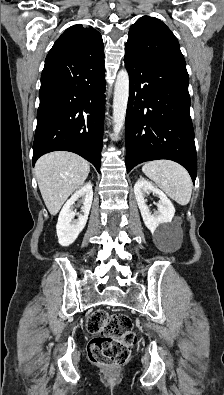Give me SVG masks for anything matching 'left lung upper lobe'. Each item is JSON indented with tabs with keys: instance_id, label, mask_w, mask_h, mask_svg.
<instances>
[{
	"instance_id": "obj_1",
	"label": "left lung upper lobe",
	"mask_w": 224,
	"mask_h": 395,
	"mask_svg": "<svg viewBox=\"0 0 224 395\" xmlns=\"http://www.w3.org/2000/svg\"><path fill=\"white\" fill-rule=\"evenodd\" d=\"M125 51L187 73L176 37L156 18L143 16L130 27Z\"/></svg>"
}]
</instances>
